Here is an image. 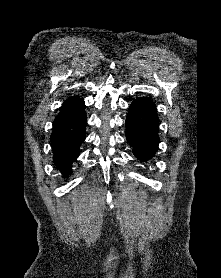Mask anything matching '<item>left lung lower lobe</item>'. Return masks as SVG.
I'll return each mask as SVG.
<instances>
[{"label": "left lung lower lobe", "mask_w": 221, "mask_h": 278, "mask_svg": "<svg viewBox=\"0 0 221 278\" xmlns=\"http://www.w3.org/2000/svg\"><path fill=\"white\" fill-rule=\"evenodd\" d=\"M158 124L157 110L150 100L132 102L126 119V139L141 161L149 160L158 148Z\"/></svg>", "instance_id": "1"}]
</instances>
